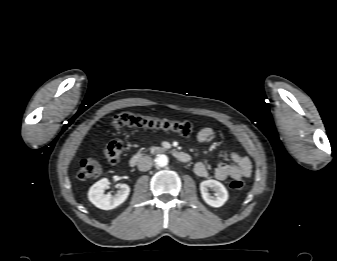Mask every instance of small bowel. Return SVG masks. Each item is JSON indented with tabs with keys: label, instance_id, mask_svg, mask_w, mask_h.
I'll list each match as a JSON object with an SVG mask.
<instances>
[{
	"label": "small bowel",
	"instance_id": "obj_1",
	"mask_svg": "<svg viewBox=\"0 0 337 261\" xmlns=\"http://www.w3.org/2000/svg\"><path fill=\"white\" fill-rule=\"evenodd\" d=\"M215 138V131L212 128H202L197 134V140L201 143L211 142ZM231 163L220 164L214 170V177L217 180L224 181L227 178L239 179L249 177L252 173V164L250 159L237 152H230ZM194 172L197 176L206 178L209 171L203 162H197L194 166Z\"/></svg>",
	"mask_w": 337,
	"mask_h": 261
}]
</instances>
